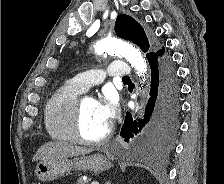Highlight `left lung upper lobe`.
Here are the masks:
<instances>
[{
	"label": "left lung upper lobe",
	"instance_id": "obj_1",
	"mask_svg": "<svg viewBox=\"0 0 224 184\" xmlns=\"http://www.w3.org/2000/svg\"><path fill=\"white\" fill-rule=\"evenodd\" d=\"M115 32L118 37L138 45L143 52H146V57L151 53H155L149 51L146 34L141 25L132 17L124 14L119 15L115 22Z\"/></svg>",
	"mask_w": 224,
	"mask_h": 184
}]
</instances>
